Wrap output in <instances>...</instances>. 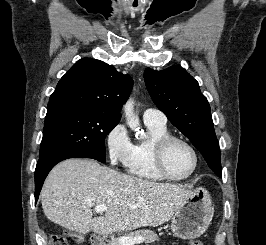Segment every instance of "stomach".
<instances>
[{
    "instance_id": "stomach-1",
    "label": "stomach",
    "mask_w": 266,
    "mask_h": 245,
    "mask_svg": "<svg viewBox=\"0 0 266 245\" xmlns=\"http://www.w3.org/2000/svg\"><path fill=\"white\" fill-rule=\"evenodd\" d=\"M213 215L212 199L203 187L194 189L190 199L175 211L171 221L174 237L197 239L207 231Z\"/></svg>"
}]
</instances>
